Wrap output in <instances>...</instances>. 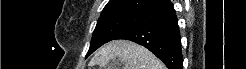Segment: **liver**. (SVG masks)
<instances>
[{
    "label": "liver",
    "mask_w": 246,
    "mask_h": 69,
    "mask_svg": "<svg viewBox=\"0 0 246 69\" xmlns=\"http://www.w3.org/2000/svg\"><path fill=\"white\" fill-rule=\"evenodd\" d=\"M92 62L104 68L108 64H122V69H166L148 49L126 40L107 43L95 53Z\"/></svg>",
    "instance_id": "obj_1"
}]
</instances>
